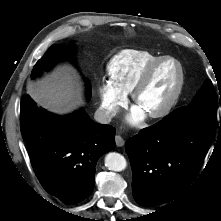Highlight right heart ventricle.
Returning <instances> with one entry per match:
<instances>
[{
	"label": "right heart ventricle",
	"mask_w": 221,
	"mask_h": 221,
	"mask_svg": "<svg viewBox=\"0 0 221 221\" xmlns=\"http://www.w3.org/2000/svg\"><path fill=\"white\" fill-rule=\"evenodd\" d=\"M160 57L146 50H123L108 63L110 82L123 93L130 94L146 68Z\"/></svg>",
	"instance_id": "right-heart-ventricle-1"
}]
</instances>
